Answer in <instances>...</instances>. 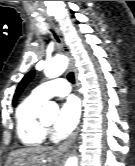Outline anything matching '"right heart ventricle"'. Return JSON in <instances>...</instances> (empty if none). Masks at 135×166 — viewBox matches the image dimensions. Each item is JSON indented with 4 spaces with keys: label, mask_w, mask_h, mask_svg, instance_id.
Instances as JSON below:
<instances>
[{
    "label": "right heart ventricle",
    "mask_w": 135,
    "mask_h": 166,
    "mask_svg": "<svg viewBox=\"0 0 135 166\" xmlns=\"http://www.w3.org/2000/svg\"><path fill=\"white\" fill-rule=\"evenodd\" d=\"M44 100L33 94L24 98L16 108V133L20 143L26 147H39L46 139V132L39 123V110Z\"/></svg>",
    "instance_id": "e07e8e85"
}]
</instances>
